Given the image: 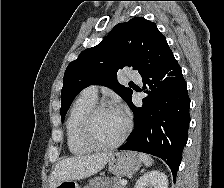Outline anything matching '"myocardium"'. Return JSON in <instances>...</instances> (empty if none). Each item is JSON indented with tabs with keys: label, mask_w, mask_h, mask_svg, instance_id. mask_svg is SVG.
<instances>
[{
	"label": "myocardium",
	"mask_w": 224,
	"mask_h": 188,
	"mask_svg": "<svg viewBox=\"0 0 224 188\" xmlns=\"http://www.w3.org/2000/svg\"><path fill=\"white\" fill-rule=\"evenodd\" d=\"M117 110L114 106L107 103L95 104L85 115L81 125V135L84 142L93 149H113L120 146L128 136L131 129V122L126 118V125L121 135L113 142H100L94 135L93 126L96 117L103 111Z\"/></svg>",
	"instance_id": "1"
}]
</instances>
